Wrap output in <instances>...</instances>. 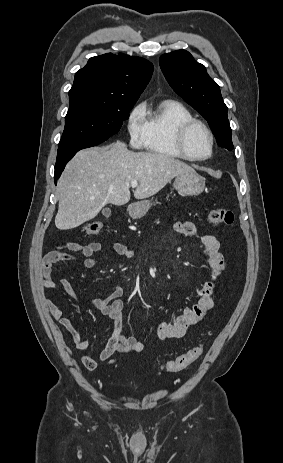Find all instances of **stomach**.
Returning a JSON list of instances; mask_svg holds the SVG:
<instances>
[{
  "label": "stomach",
  "instance_id": "0dacf381",
  "mask_svg": "<svg viewBox=\"0 0 283 463\" xmlns=\"http://www.w3.org/2000/svg\"><path fill=\"white\" fill-rule=\"evenodd\" d=\"M174 188L184 196H196L205 188V178L196 172L185 173L176 177ZM152 200H141L128 207L129 215L133 219H140L146 215L152 206Z\"/></svg>",
  "mask_w": 283,
  "mask_h": 463
}]
</instances>
